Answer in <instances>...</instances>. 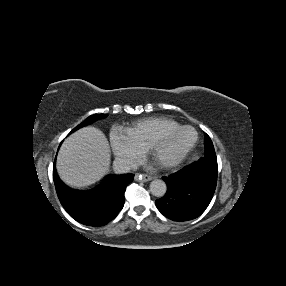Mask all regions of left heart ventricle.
Masks as SVG:
<instances>
[{
  "label": "left heart ventricle",
  "mask_w": 286,
  "mask_h": 286,
  "mask_svg": "<svg viewBox=\"0 0 286 286\" xmlns=\"http://www.w3.org/2000/svg\"><path fill=\"white\" fill-rule=\"evenodd\" d=\"M195 140V133L191 129L182 131L169 144L162 148L158 157L160 159H171L179 156L187 150Z\"/></svg>",
  "instance_id": "b2bd125f"
}]
</instances>
